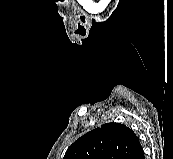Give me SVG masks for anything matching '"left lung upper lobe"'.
I'll list each match as a JSON object with an SVG mask.
<instances>
[{"label":"left lung upper lobe","mask_w":173,"mask_h":159,"mask_svg":"<svg viewBox=\"0 0 173 159\" xmlns=\"http://www.w3.org/2000/svg\"><path fill=\"white\" fill-rule=\"evenodd\" d=\"M142 149L134 132L120 123H107L78 138L63 159H134Z\"/></svg>","instance_id":"left-lung-upper-lobe-1"}]
</instances>
